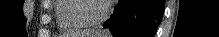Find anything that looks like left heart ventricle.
<instances>
[{"label": "left heart ventricle", "instance_id": "b2bd125f", "mask_svg": "<svg viewBox=\"0 0 219 37\" xmlns=\"http://www.w3.org/2000/svg\"><path fill=\"white\" fill-rule=\"evenodd\" d=\"M103 11L102 1H90L85 3V14L91 18H97Z\"/></svg>", "mask_w": 219, "mask_h": 37}]
</instances>
